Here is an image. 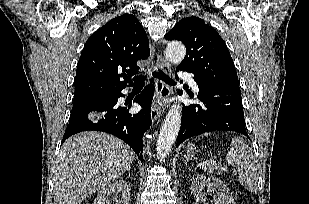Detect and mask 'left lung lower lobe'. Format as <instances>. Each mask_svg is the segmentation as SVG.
Wrapping results in <instances>:
<instances>
[{
  "instance_id": "left-lung-lower-lobe-1",
  "label": "left lung lower lobe",
  "mask_w": 309,
  "mask_h": 204,
  "mask_svg": "<svg viewBox=\"0 0 309 204\" xmlns=\"http://www.w3.org/2000/svg\"><path fill=\"white\" fill-rule=\"evenodd\" d=\"M194 78L202 105L183 106L176 147L188 138L216 130L235 131L248 137L240 88Z\"/></svg>"
}]
</instances>
